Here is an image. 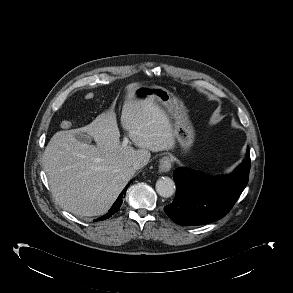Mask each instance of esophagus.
I'll return each instance as SVG.
<instances>
[{
	"mask_svg": "<svg viewBox=\"0 0 293 293\" xmlns=\"http://www.w3.org/2000/svg\"><path fill=\"white\" fill-rule=\"evenodd\" d=\"M172 167V160L168 156H164L160 159L159 170L161 172H169Z\"/></svg>",
	"mask_w": 293,
	"mask_h": 293,
	"instance_id": "34e87169",
	"label": "esophagus"
}]
</instances>
